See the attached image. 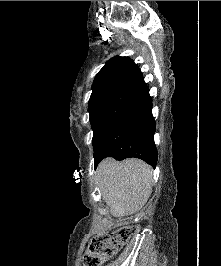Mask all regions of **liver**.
<instances>
[{
  "instance_id": "1",
  "label": "liver",
  "mask_w": 221,
  "mask_h": 266,
  "mask_svg": "<svg viewBox=\"0 0 221 266\" xmlns=\"http://www.w3.org/2000/svg\"><path fill=\"white\" fill-rule=\"evenodd\" d=\"M153 169L139 159H104L96 170L99 191L114 217L142 209L152 193Z\"/></svg>"
}]
</instances>
